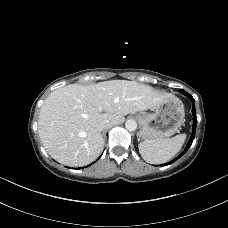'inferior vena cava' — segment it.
<instances>
[{
    "label": "inferior vena cava",
    "instance_id": "obj_1",
    "mask_svg": "<svg viewBox=\"0 0 228 228\" xmlns=\"http://www.w3.org/2000/svg\"><path fill=\"white\" fill-rule=\"evenodd\" d=\"M110 127V124L108 121H103L97 124L96 128L98 131H103L104 129Z\"/></svg>",
    "mask_w": 228,
    "mask_h": 228
}]
</instances>
